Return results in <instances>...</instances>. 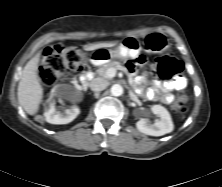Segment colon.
<instances>
[{"label":"colon","instance_id":"colon-1","mask_svg":"<svg viewBox=\"0 0 222 187\" xmlns=\"http://www.w3.org/2000/svg\"><path fill=\"white\" fill-rule=\"evenodd\" d=\"M83 63V55L77 48L62 45L50 47L45 51L39 67V78L44 85L53 86L61 76L81 69ZM139 64L145 67L148 62L140 58ZM155 64V72L162 79L177 77L182 70V63L169 56L159 58ZM187 101L188 96L181 94L174 103V109L185 112Z\"/></svg>","mask_w":222,"mask_h":187}]
</instances>
